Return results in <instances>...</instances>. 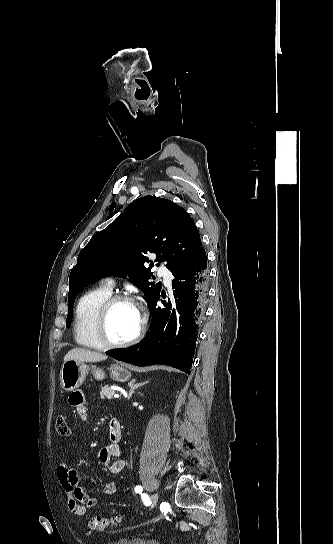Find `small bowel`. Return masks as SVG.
<instances>
[{"mask_svg": "<svg viewBox=\"0 0 333 544\" xmlns=\"http://www.w3.org/2000/svg\"><path fill=\"white\" fill-rule=\"evenodd\" d=\"M69 404L75 409L78 417L85 421L88 417L87 403L84 394L81 391H75L69 396ZM110 443L103 447L98 453L99 463L108 468L113 474L121 473L126 463L118 459L122 455L121 424L117 419L109 421ZM57 478L68 496V508L74 515L82 516L87 509L93 508L97 504V499L88 495L82 487L79 486L77 471L62 463L57 468ZM116 492V484L108 482L103 488L105 495H113Z\"/></svg>", "mask_w": 333, "mask_h": 544, "instance_id": "obj_1", "label": "small bowel"}]
</instances>
